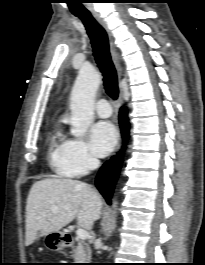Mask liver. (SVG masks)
<instances>
[{
  "instance_id": "obj_1",
  "label": "liver",
  "mask_w": 205,
  "mask_h": 265,
  "mask_svg": "<svg viewBox=\"0 0 205 265\" xmlns=\"http://www.w3.org/2000/svg\"><path fill=\"white\" fill-rule=\"evenodd\" d=\"M102 200L90 185L72 179H44L35 182L26 204L25 245L40 236L57 232L75 218L90 230L101 216Z\"/></svg>"
}]
</instances>
